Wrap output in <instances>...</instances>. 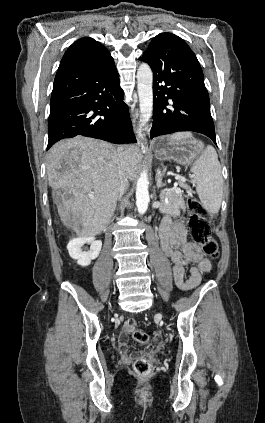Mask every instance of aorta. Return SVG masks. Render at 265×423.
I'll return each instance as SVG.
<instances>
[{
    "label": "aorta",
    "mask_w": 265,
    "mask_h": 423,
    "mask_svg": "<svg viewBox=\"0 0 265 423\" xmlns=\"http://www.w3.org/2000/svg\"><path fill=\"white\" fill-rule=\"evenodd\" d=\"M137 89L139 96L140 113L142 124L149 122L153 111V73L147 63H141L137 71ZM148 130V126L145 128ZM148 175L144 169L137 181L136 186V205L139 214L147 211L149 203Z\"/></svg>",
    "instance_id": "obj_1"
}]
</instances>
